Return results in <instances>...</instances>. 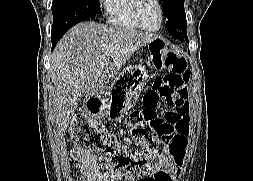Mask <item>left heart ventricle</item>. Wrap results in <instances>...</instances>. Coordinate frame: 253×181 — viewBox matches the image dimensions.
I'll use <instances>...</instances> for the list:
<instances>
[{"mask_svg": "<svg viewBox=\"0 0 253 181\" xmlns=\"http://www.w3.org/2000/svg\"><path fill=\"white\" fill-rule=\"evenodd\" d=\"M142 23L148 28H157L160 23V12L154 0H142L139 9Z\"/></svg>", "mask_w": 253, "mask_h": 181, "instance_id": "b2bd125f", "label": "left heart ventricle"}]
</instances>
